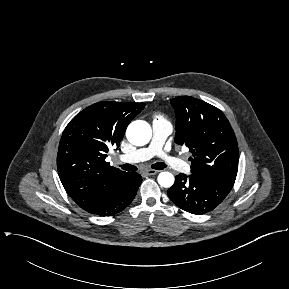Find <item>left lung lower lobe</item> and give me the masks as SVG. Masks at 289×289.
Listing matches in <instances>:
<instances>
[{"label":"left lung lower lobe","mask_w":289,"mask_h":289,"mask_svg":"<svg viewBox=\"0 0 289 289\" xmlns=\"http://www.w3.org/2000/svg\"><path fill=\"white\" fill-rule=\"evenodd\" d=\"M231 189L203 176L179 174L174 185L168 189V196L181 209L200 215L215 209Z\"/></svg>","instance_id":"1"}]
</instances>
